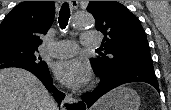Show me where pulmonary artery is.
<instances>
[{
  "label": "pulmonary artery",
  "mask_w": 171,
  "mask_h": 110,
  "mask_svg": "<svg viewBox=\"0 0 171 110\" xmlns=\"http://www.w3.org/2000/svg\"><path fill=\"white\" fill-rule=\"evenodd\" d=\"M98 34L95 32H86L81 35V43L85 47H96L99 45ZM47 52L57 58H66L73 56L77 51V45L73 41L60 40L47 44Z\"/></svg>",
  "instance_id": "obj_1"
}]
</instances>
